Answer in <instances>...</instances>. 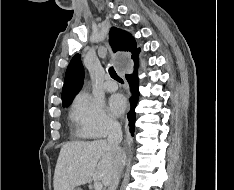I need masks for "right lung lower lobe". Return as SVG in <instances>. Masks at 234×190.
I'll return each mask as SVG.
<instances>
[{"label":"right lung lower lobe","mask_w":234,"mask_h":190,"mask_svg":"<svg viewBox=\"0 0 234 190\" xmlns=\"http://www.w3.org/2000/svg\"><path fill=\"white\" fill-rule=\"evenodd\" d=\"M134 73L133 74H126L125 77L130 85V90L132 93V97L130 98V105L131 109L127 114L128 122H129V131L131 135L134 134V128H135V120H136V113H135V107L139 99V80H138V75H137V67H138V62H137V57L134 60Z\"/></svg>","instance_id":"1"}]
</instances>
